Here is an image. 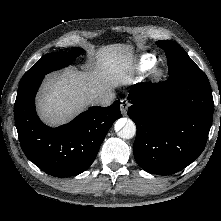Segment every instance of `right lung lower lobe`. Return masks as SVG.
Returning <instances> with one entry per match:
<instances>
[{"label":"right lung lower lobe","mask_w":221,"mask_h":221,"mask_svg":"<svg viewBox=\"0 0 221 221\" xmlns=\"http://www.w3.org/2000/svg\"><path fill=\"white\" fill-rule=\"evenodd\" d=\"M43 78L20 84L17 92L14 115L22 150L51 176L80 174L91 166L108 130L121 117L120 101L109 107H90L70 123L51 128L35 111V95Z\"/></svg>","instance_id":"1"}]
</instances>
